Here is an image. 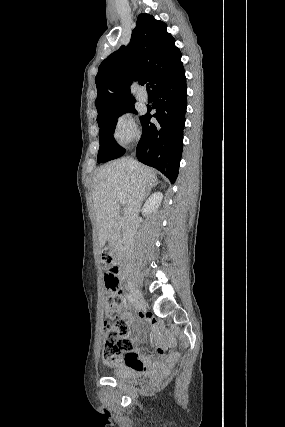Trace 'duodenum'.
<instances>
[{
  "instance_id": "410a0bca",
  "label": "duodenum",
  "mask_w": 285,
  "mask_h": 427,
  "mask_svg": "<svg viewBox=\"0 0 285 427\" xmlns=\"http://www.w3.org/2000/svg\"><path fill=\"white\" fill-rule=\"evenodd\" d=\"M128 227H129L128 220H125L123 218L116 219L111 225V229H119V228L127 229Z\"/></svg>"
}]
</instances>
